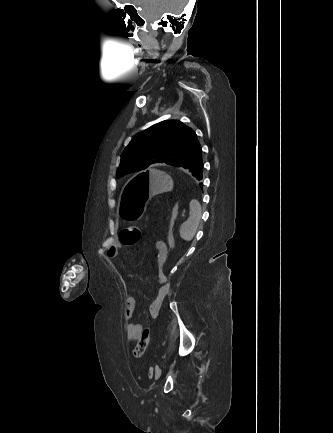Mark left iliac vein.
<instances>
[{
	"instance_id": "obj_1",
	"label": "left iliac vein",
	"mask_w": 333,
	"mask_h": 433,
	"mask_svg": "<svg viewBox=\"0 0 333 433\" xmlns=\"http://www.w3.org/2000/svg\"><path fill=\"white\" fill-rule=\"evenodd\" d=\"M160 376H161V369L158 368V369L155 371V379H158Z\"/></svg>"
}]
</instances>
